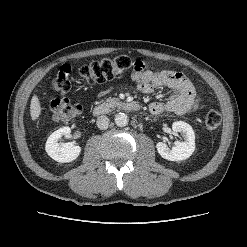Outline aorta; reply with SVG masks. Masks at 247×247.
<instances>
[{
  "instance_id": "aorta-1",
  "label": "aorta",
  "mask_w": 247,
  "mask_h": 247,
  "mask_svg": "<svg viewBox=\"0 0 247 247\" xmlns=\"http://www.w3.org/2000/svg\"><path fill=\"white\" fill-rule=\"evenodd\" d=\"M115 124L119 127H125L128 124V116L125 113H118L115 116Z\"/></svg>"
}]
</instances>
